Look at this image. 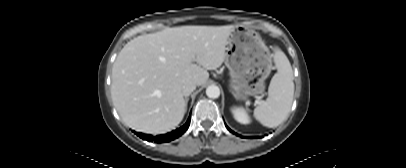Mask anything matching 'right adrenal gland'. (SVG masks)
I'll use <instances>...</instances> for the list:
<instances>
[{
  "label": "right adrenal gland",
  "instance_id": "2a0ac1e0",
  "mask_svg": "<svg viewBox=\"0 0 406 168\" xmlns=\"http://www.w3.org/2000/svg\"><path fill=\"white\" fill-rule=\"evenodd\" d=\"M188 101H189V97H185V107H186V109H187Z\"/></svg>",
  "mask_w": 406,
  "mask_h": 168
}]
</instances>
